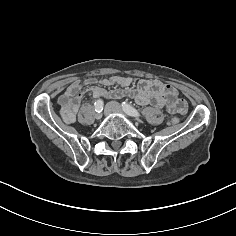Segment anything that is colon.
Instances as JSON below:
<instances>
[{"label": "colon", "mask_w": 236, "mask_h": 236, "mask_svg": "<svg viewBox=\"0 0 236 236\" xmlns=\"http://www.w3.org/2000/svg\"><path fill=\"white\" fill-rule=\"evenodd\" d=\"M178 122V118L174 117L171 119V123L176 124Z\"/></svg>", "instance_id": "obj_1"}]
</instances>
